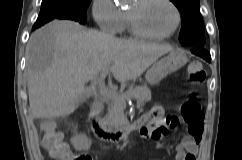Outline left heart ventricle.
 <instances>
[{"label": "left heart ventricle", "mask_w": 242, "mask_h": 160, "mask_svg": "<svg viewBox=\"0 0 242 160\" xmlns=\"http://www.w3.org/2000/svg\"><path fill=\"white\" fill-rule=\"evenodd\" d=\"M133 11L141 27L152 34L169 33L175 26L176 14L164 0H148L144 4L133 1L128 8Z\"/></svg>", "instance_id": "left-heart-ventricle-1"}]
</instances>
